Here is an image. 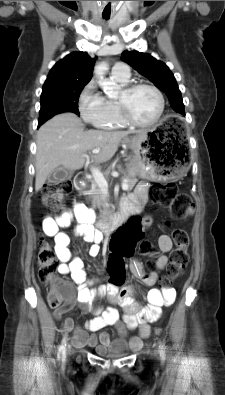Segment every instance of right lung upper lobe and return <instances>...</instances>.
Listing matches in <instances>:
<instances>
[{"label": "right lung upper lobe", "mask_w": 225, "mask_h": 395, "mask_svg": "<svg viewBox=\"0 0 225 395\" xmlns=\"http://www.w3.org/2000/svg\"><path fill=\"white\" fill-rule=\"evenodd\" d=\"M96 57L87 52H73L58 61L51 69L44 86L87 84L93 72Z\"/></svg>", "instance_id": "cb5924a9"}]
</instances>
